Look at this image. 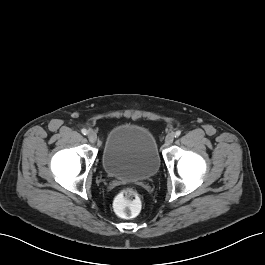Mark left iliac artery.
<instances>
[{"label": "left iliac artery", "mask_w": 265, "mask_h": 265, "mask_svg": "<svg viewBox=\"0 0 265 265\" xmlns=\"http://www.w3.org/2000/svg\"><path fill=\"white\" fill-rule=\"evenodd\" d=\"M180 135H181V131L178 130L175 132V137H179Z\"/></svg>", "instance_id": "1"}]
</instances>
